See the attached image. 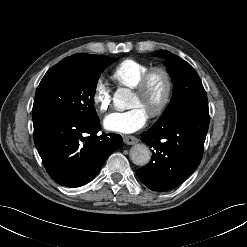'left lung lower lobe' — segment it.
Instances as JSON below:
<instances>
[{
	"instance_id": "0a47b994",
	"label": "left lung lower lobe",
	"mask_w": 247,
	"mask_h": 247,
	"mask_svg": "<svg viewBox=\"0 0 247 247\" xmlns=\"http://www.w3.org/2000/svg\"><path fill=\"white\" fill-rule=\"evenodd\" d=\"M208 126L207 102L160 118L141 134L140 139L152 148V158L136 170L139 180L153 191H167L184 182L201 162Z\"/></svg>"
}]
</instances>
